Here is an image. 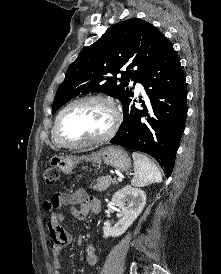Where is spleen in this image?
Wrapping results in <instances>:
<instances>
[{
    "label": "spleen",
    "instance_id": "3e777b00",
    "mask_svg": "<svg viewBox=\"0 0 221 274\" xmlns=\"http://www.w3.org/2000/svg\"><path fill=\"white\" fill-rule=\"evenodd\" d=\"M134 177L131 185L145 187L153 183L162 182V175L156 164L147 156L140 153H133Z\"/></svg>",
    "mask_w": 221,
    "mask_h": 274
}]
</instances>
